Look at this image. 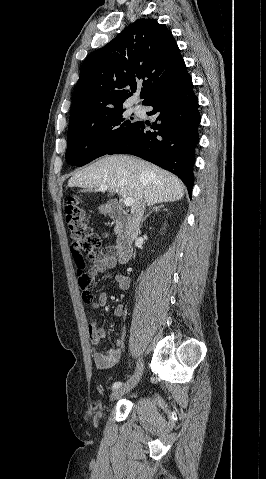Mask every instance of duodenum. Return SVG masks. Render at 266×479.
<instances>
[{
  "label": "duodenum",
  "mask_w": 266,
  "mask_h": 479,
  "mask_svg": "<svg viewBox=\"0 0 266 479\" xmlns=\"http://www.w3.org/2000/svg\"><path fill=\"white\" fill-rule=\"evenodd\" d=\"M106 209L109 216L119 225L116 260L121 264L126 263L131 259L134 250V218L117 202H110Z\"/></svg>",
  "instance_id": "1"
}]
</instances>
